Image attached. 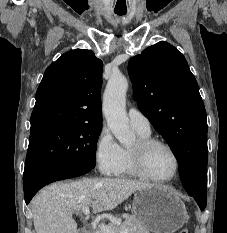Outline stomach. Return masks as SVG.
Segmentation results:
<instances>
[{
    "instance_id": "stomach-1",
    "label": "stomach",
    "mask_w": 227,
    "mask_h": 233,
    "mask_svg": "<svg viewBox=\"0 0 227 233\" xmlns=\"http://www.w3.org/2000/svg\"><path fill=\"white\" fill-rule=\"evenodd\" d=\"M133 212L153 233H173L188 218L180 197L173 190L160 186L138 190L133 199Z\"/></svg>"
}]
</instances>
